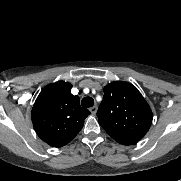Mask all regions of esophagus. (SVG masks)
<instances>
[{
    "label": "esophagus",
    "instance_id": "esophagus-1",
    "mask_svg": "<svg viewBox=\"0 0 181 181\" xmlns=\"http://www.w3.org/2000/svg\"><path fill=\"white\" fill-rule=\"evenodd\" d=\"M90 112H91L93 115H95L96 112H97V106L91 107V108H90Z\"/></svg>",
    "mask_w": 181,
    "mask_h": 181
}]
</instances>
